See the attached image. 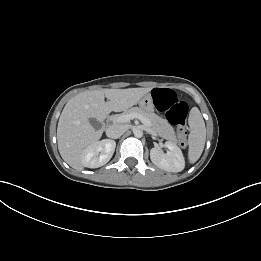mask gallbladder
Wrapping results in <instances>:
<instances>
[{
  "instance_id": "obj_1",
  "label": "gallbladder",
  "mask_w": 261,
  "mask_h": 261,
  "mask_svg": "<svg viewBox=\"0 0 261 261\" xmlns=\"http://www.w3.org/2000/svg\"><path fill=\"white\" fill-rule=\"evenodd\" d=\"M91 125L95 128V129H100L101 128V123L95 119V118H91L90 120Z\"/></svg>"
}]
</instances>
